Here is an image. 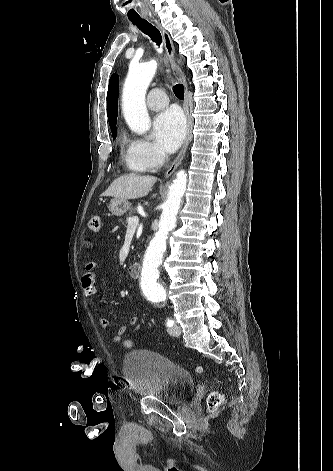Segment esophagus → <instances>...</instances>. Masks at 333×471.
Wrapping results in <instances>:
<instances>
[{
	"mask_svg": "<svg viewBox=\"0 0 333 471\" xmlns=\"http://www.w3.org/2000/svg\"><path fill=\"white\" fill-rule=\"evenodd\" d=\"M154 22H155L157 28L160 30V32L162 34L166 54H167L168 59L170 60L174 75L176 76L178 81H180L184 86V110H185L186 118H187L186 138H185L184 144H183L179 154L177 155V157L175 158L173 163L170 165L168 170L165 172V177L167 178V177L171 176L174 173V171L177 169V167L180 165L181 161L183 160V157L185 156V153H186V150H187V147H188V144H189V140H190L191 118H190L189 107H188L187 82H186V79H185V76H184L182 70L180 69V67L175 62L174 45L172 43V40L170 38L169 33L160 25V23L157 20H154Z\"/></svg>",
	"mask_w": 333,
	"mask_h": 471,
	"instance_id": "34e87169",
	"label": "esophagus"
}]
</instances>
